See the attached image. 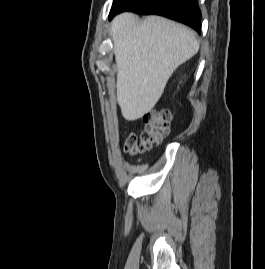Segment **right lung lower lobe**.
<instances>
[{"label":"right lung lower lobe","instance_id":"98d812e1","mask_svg":"<svg viewBox=\"0 0 265 269\" xmlns=\"http://www.w3.org/2000/svg\"><path fill=\"white\" fill-rule=\"evenodd\" d=\"M123 11L165 16L192 27L198 33L201 31V11L197 0H115L109 19Z\"/></svg>","mask_w":265,"mask_h":269}]
</instances>
